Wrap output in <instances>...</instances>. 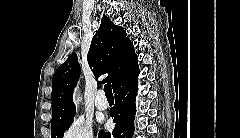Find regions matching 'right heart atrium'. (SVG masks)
<instances>
[{
	"label": "right heart atrium",
	"mask_w": 240,
	"mask_h": 138,
	"mask_svg": "<svg viewBox=\"0 0 240 138\" xmlns=\"http://www.w3.org/2000/svg\"><path fill=\"white\" fill-rule=\"evenodd\" d=\"M63 138H93L91 122L82 117L73 119L64 130Z\"/></svg>",
	"instance_id": "1"
}]
</instances>
